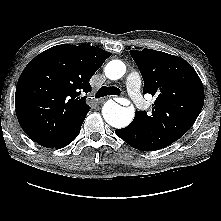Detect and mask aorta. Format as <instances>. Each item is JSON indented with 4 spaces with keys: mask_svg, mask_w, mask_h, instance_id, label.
I'll return each instance as SVG.
<instances>
[{
    "mask_svg": "<svg viewBox=\"0 0 221 221\" xmlns=\"http://www.w3.org/2000/svg\"><path fill=\"white\" fill-rule=\"evenodd\" d=\"M105 75L110 80H118L124 76L126 72L125 64L120 60H112L105 66ZM134 108H125L114 102L108 100L103 108L102 115L104 120L112 127L124 128L128 126L134 117Z\"/></svg>",
    "mask_w": 221,
    "mask_h": 221,
    "instance_id": "762f6f07",
    "label": "aorta"
}]
</instances>
